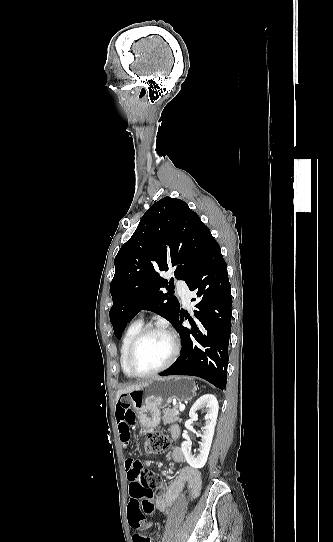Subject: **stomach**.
<instances>
[{
    "instance_id": "1",
    "label": "stomach",
    "mask_w": 333,
    "mask_h": 542,
    "mask_svg": "<svg viewBox=\"0 0 333 542\" xmlns=\"http://www.w3.org/2000/svg\"><path fill=\"white\" fill-rule=\"evenodd\" d=\"M196 386L191 378L185 376H166V378H152L148 380L141 390H134L118 400H130L131 408L142 426L140 436L146 435V430H152L160 424V408L169 406L172 400L189 402L195 396Z\"/></svg>"
}]
</instances>
